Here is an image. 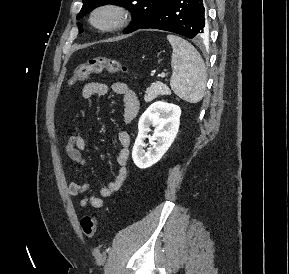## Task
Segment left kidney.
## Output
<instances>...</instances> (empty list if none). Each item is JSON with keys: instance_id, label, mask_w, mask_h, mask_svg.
I'll use <instances>...</instances> for the list:
<instances>
[{"instance_id": "left-kidney-1", "label": "left kidney", "mask_w": 289, "mask_h": 274, "mask_svg": "<svg viewBox=\"0 0 289 274\" xmlns=\"http://www.w3.org/2000/svg\"><path fill=\"white\" fill-rule=\"evenodd\" d=\"M181 109L163 101L151 104L138 123V136L132 150L135 165L141 169L157 163L173 143L179 129ZM155 127L152 147L144 150L150 127Z\"/></svg>"}]
</instances>
